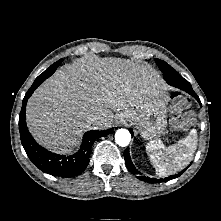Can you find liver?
I'll list each match as a JSON object with an SVG mask.
<instances>
[{
    "instance_id": "6515ba94",
    "label": "liver",
    "mask_w": 221,
    "mask_h": 221,
    "mask_svg": "<svg viewBox=\"0 0 221 221\" xmlns=\"http://www.w3.org/2000/svg\"><path fill=\"white\" fill-rule=\"evenodd\" d=\"M166 90L150 66L88 56L64 65L34 92L26 121L41 145L67 154L90 127L89 117L99 118L96 128H110L113 110L142 105Z\"/></svg>"
}]
</instances>
